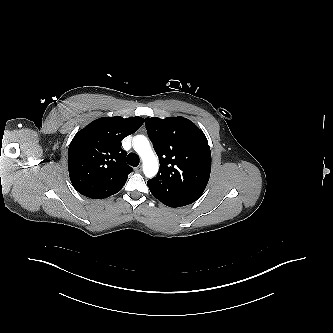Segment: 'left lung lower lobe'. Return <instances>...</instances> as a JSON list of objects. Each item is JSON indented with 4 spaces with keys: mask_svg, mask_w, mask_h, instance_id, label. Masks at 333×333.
I'll return each mask as SVG.
<instances>
[{
    "mask_svg": "<svg viewBox=\"0 0 333 333\" xmlns=\"http://www.w3.org/2000/svg\"><path fill=\"white\" fill-rule=\"evenodd\" d=\"M160 202L169 207H181L195 202L198 198L186 197L176 194H165L164 198H158Z\"/></svg>",
    "mask_w": 333,
    "mask_h": 333,
    "instance_id": "1",
    "label": "left lung lower lobe"
}]
</instances>
